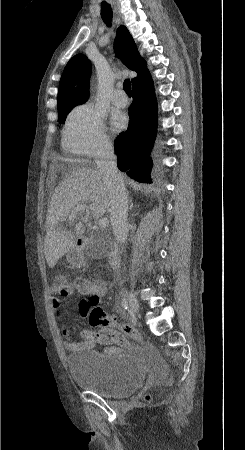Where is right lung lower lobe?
<instances>
[{
  "label": "right lung lower lobe",
  "instance_id": "right-lung-lower-lobe-1",
  "mask_svg": "<svg viewBox=\"0 0 245 450\" xmlns=\"http://www.w3.org/2000/svg\"><path fill=\"white\" fill-rule=\"evenodd\" d=\"M128 130L115 141L118 168L136 181L151 182V153L157 131V102L149 71L133 83Z\"/></svg>",
  "mask_w": 245,
  "mask_h": 450
}]
</instances>
